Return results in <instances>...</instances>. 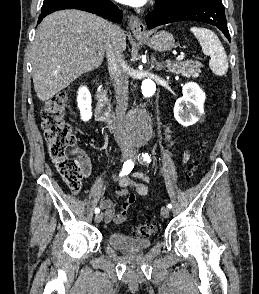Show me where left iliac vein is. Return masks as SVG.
<instances>
[{
  "mask_svg": "<svg viewBox=\"0 0 259 294\" xmlns=\"http://www.w3.org/2000/svg\"><path fill=\"white\" fill-rule=\"evenodd\" d=\"M130 158H132L133 160L137 159V152H136L135 150H132V151H131ZM161 215H162L164 218H167V217L169 216V209H168V207L163 206V207L161 208Z\"/></svg>",
  "mask_w": 259,
  "mask_h": 294,
  "instance_id": "left-iliac-vein-1",
  "label": "left iliac vein"
}]
</instances>
